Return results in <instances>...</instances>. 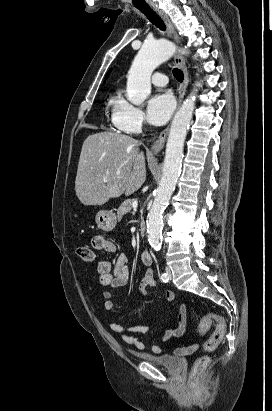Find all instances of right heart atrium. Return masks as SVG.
<instances>
[{"instance_id":"obj_1","label":"right heart atrium","mask_w":272,"mask_h":411,"mask_svg":"<svg viewBox=\"0 0 272 411\" xmlns=\"http://www.w3.org/2000/svg\"><path fill=\"white\" fill-rule=\"evenodd\" d=\"M112 107V122L119 130L130 134L141 132L146 118L139 107L121 96Z\"/></svg>"}]
</instances>
